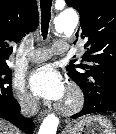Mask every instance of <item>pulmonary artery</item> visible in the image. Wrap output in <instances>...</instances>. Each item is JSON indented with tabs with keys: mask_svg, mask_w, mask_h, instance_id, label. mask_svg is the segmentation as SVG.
<instances>
[{
	"mask_svg": "<svg viewBox=\"0 0 116 134\" xmlns=\"http://www.w3.org/2000/svg\"><path fill=\"white\" fill-rule=\"evenodd\" d=\"M68 49V43L64 40H61L53 44L51 49L42 48L34 50L28 54L27 59L31 62H44L53 55L67 52Z\"/></svg>",
	"mask_w": 116,
	"mask_h": 134,
	"instance_id": "1",
	"label": "pulmonary artery"
}]
</instances>
